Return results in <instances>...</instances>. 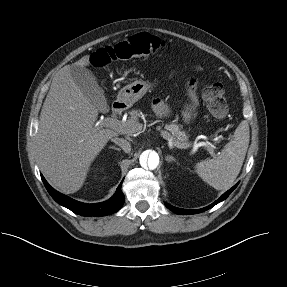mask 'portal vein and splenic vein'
Returning a JSON list of instances; mask_svg holds the SVG:
<instances>
[{"instance_id":"obj_1","label":"portal vein and splenic vein","mask_w":287,"mask_h":287,"mask_svg":"<svg viewBox=\"0 0 287 287\" xmlns=\"http://www.w3.org/2000/svg\"><path fill=\"white\" fill-rule=\"evenodd\" d=\"M101 125H103L105 127L112 128V129L117 130V131H122L124 128V123H122L121 121H119L117 119H113V118H105L102 121ZM141 128H142V125H141ZM160 133L164 139L168 140V144L170 147L175 146L179 149H186V148H189L192 146L193 147H195V146L201 147L202 146V147H205L211 154H213L215 151V146L208 141L199 142L198 144H192V143H188V142H186V143H179V142L174 143L172 138L169 136L168 132L161 130Z\"/></svg>"}]
</instances>
